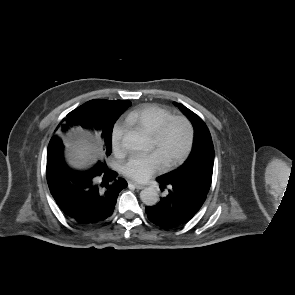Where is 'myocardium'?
Here are the masks:
<instances>
[{
  "label": "myocardium",
  "mask_w": 295,
  "mask_h": 295,
  "mask_svg": "<svg viewBox=\"0 0 295 295\" xmlns=\"http://www.w3.org/2000/svg\"><path fill=\"white\" fill-rule=\"evenodd\" d=\"M176 123L181 124L186 130V144L182 152L177 157L164 164L165 169H172L184 162V160L190 154L194 142V128L192 123L184 116H172L165 120L152 134V141L154 142L155 146L158 147L161 145L170 127Z\"/></svg>",
  "instance_id": "f54148a6"
}]
</instances>
